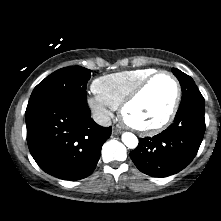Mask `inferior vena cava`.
<instances>
[{"label": "inferior vena cava", "instance_id": "1", "mask_svg": "<svg viewBox=\"0 0 221 221\" xmlns=\"http://www.w3.org/2000/svg\"><path fill=\"white\" fill-rule=\"evenodd\" d=\"M92 118L96 123L101 126L109 127L111 125V119L107 114L104 113H94Z\"/></svg>", "mask_w": 221, "mask_h": 221}]
</instances>
